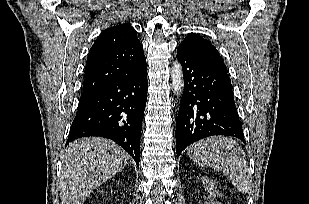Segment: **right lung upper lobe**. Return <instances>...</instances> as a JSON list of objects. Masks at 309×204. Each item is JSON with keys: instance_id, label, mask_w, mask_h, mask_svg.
<instances>
[{"instance_id": "right-lung-upper-lobe-1", "label": "right lung upper lobe", "mask_w": 309, "mask_h": 204, "mask_svg": "<svg viewBox=\"0 0 309 204\" xmlns=\"http://www.w3.org/2000/svg\"><path fill=\"white\" fill-rule=\"evenodd\" d=\"M145 67L136 30L128 23L110 27L98 36L89 51L82 93L136 74Z\"/></svg>"}]
</instances>
